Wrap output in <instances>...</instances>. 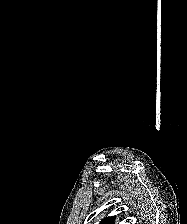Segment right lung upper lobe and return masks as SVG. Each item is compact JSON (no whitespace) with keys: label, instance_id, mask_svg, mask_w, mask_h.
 <instances>
[{"label":"right lung upper lobe","instance_id":"right-lung-upper-lobe-1","mask_svg":"<svg viewBox=\"0 0 187 224\" xmlns=\"http://www.w3.org/2000/svg\"><path fill=\"white\" fill-rule=\"evenodd\" d=\"M114 217H106L99 224H114Z\"/></svg>","mask_w":187,"mask_h":224}]
</instances>
